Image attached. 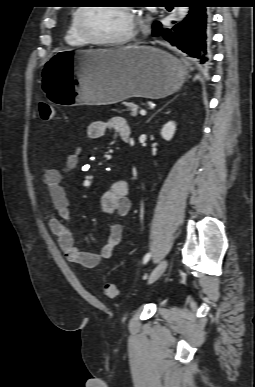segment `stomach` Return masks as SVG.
Wrapping results in <instances>:
<instances>
[{"label": "stomach", "mask_w": 255, "mask_h": 387, "mask_svg": "<svg viewBox=\"0 0 255 387\" xmlns=\"http://www.w3.org/2000/svg\"><path fill=\"white\" fill-rule=\"evenodd\" d=\"M186 67L169 53L147 46L117 50H60L45 63L43 94L59 108H89L129 97L162 98L178 91Z\"/></svg>", "instance_id": "stomach-1"}]
</instances>
